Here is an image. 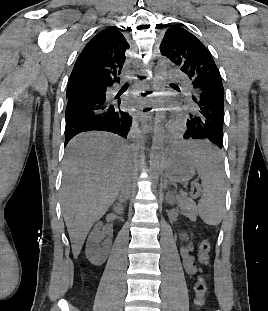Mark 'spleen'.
I'll return each mask as SVG.
<instances>
[{"label":"spleen","mask_w":268,"mask_h":311,"mask_svg":"<svg viewBox=\"0 0 268 311\" xmlns=\"http://www.w3.org/2000/svg\"><path fill=\"white\" fill-rule=\"evenodd\" d=\"M185 147H191L203 189L198 203L201 219L208 225L220 224L225 210V183L221 163V149L218 144H208L207 140H185Z\"/></svg>","instance_id":"obj_1"}]
</instances>
